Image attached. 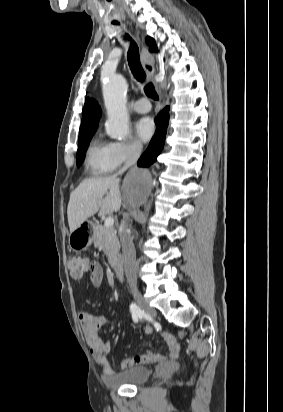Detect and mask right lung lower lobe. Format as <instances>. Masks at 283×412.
I'll return each instance as SVG.
<instances>
[{
  "label": "right lung lower lobe",
  "instance_id": "right-lung-lower-lobe-1",
  "mask_svg": "<svg viewBox=\"0 0 283 412\" xmlns=\"http://www.w3.org/2000/svg\"><path fill=\"white\" fill-rule=\"evenodd\" d=\"M169 107L164 108L156 117V132L141 158L138 160V166H149L153 164L157 156L163 149L165 137L167 133V126L169 122Z\"/></svg>",
  "mask_w": 283,
  "mask_h": 412
}]
</instances>
